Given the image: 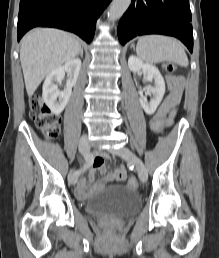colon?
Returning a JSON list of instances; mask_svg holds the SVG:
<instances>
[{
  "label": "colon",
  "instance_id": "colon-1",
  "mask_svg": "<svg viewBox=\"0 0 219 258\" xmlns=\"http://www.w3.org/2000/svg\"><path fill=\"white\" fill-rule=\"evenodd\" d=\"M164 68L171 73L176 70V65L173 63H166ZM30 116L35 122L36 126L42 131L46 138H55L60 132L61 118L52 113L50 109L43 102L39 96H33L30 100ZM166 114L162 111H157L151 120V130L159 136L164 129ZM128 186L132 189L138 188L137 180L132 177L128 180Z\"/></svg>",
  "mask_w": 219,
  "mask_h": 258
}]
</instances>
